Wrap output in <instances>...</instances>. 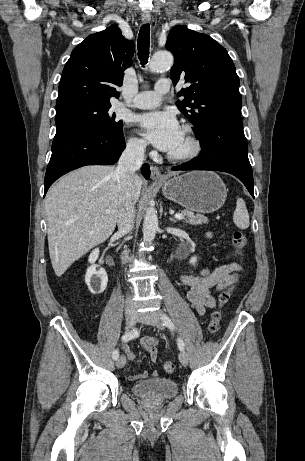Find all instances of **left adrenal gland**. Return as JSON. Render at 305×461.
<instances>
[{"label":"left adrenal gland","instance_id":"a2214340","mask_svg":"<svg viewBox=\"0 0 305 461\" xmlns=\"http://www.w3.org/2000/svg\"><path fill=\"white\" fill-rule=\"evenodd\" d=\"M169 220H170L171 222H173V223H175V222H176V220H175V219H173V218H169Z\"/></svg>","mask_w":305,"mask_h":461}]
</instances>
